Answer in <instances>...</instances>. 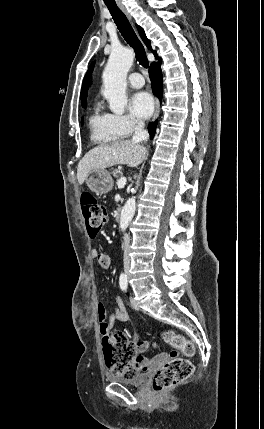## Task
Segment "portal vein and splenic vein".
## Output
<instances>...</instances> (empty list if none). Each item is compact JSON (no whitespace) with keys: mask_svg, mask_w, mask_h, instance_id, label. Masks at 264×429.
<instances>
[{"mask_svg":"<svg viewBox=\"0 0 264 429\" xmlns=\"http://www.w3.org/2000/svg\"><path fill=\"white\" fill-rule=\"evenodd\" d=\"M126 182H127L126 177L122 176V177L118 180V182H117V186H118L119 188H122V187H124V186H125Z\"/></svg>","mask_w":264,"mask_h":429,"instance_id":"1","label":"portal vein and splenic vein"}]
</instances>
